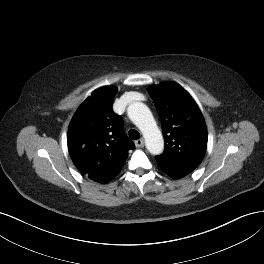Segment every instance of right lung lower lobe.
I'll use <instances>...</instances> for the list:
<instances>
[{
  "instance_id": "obj_1",
  "label": "right lung lower lobe",
  "mask_w": 264,
  "mask_h": 264,
  "mask_svg": "<svg viewBox=\"0 0 264 264\" xmlns=\"http://www.w3.org/2000/svg\"><path fill=\"white\" fill-rule=\"evenodd\" d=\"M84 175L86 177L90 178L91 180H94V181L99 182V183H107L113 179V178L111 179L108 177H104L97 172H92V173H88V174H84Z\"/></svg>"
}]
</instances>
